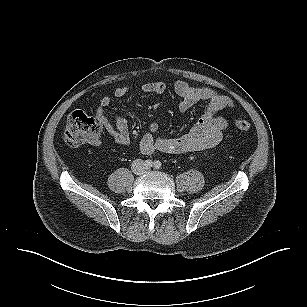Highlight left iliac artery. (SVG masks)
I'll list each match as a JSON object with an SVG mask.
<instances>
[{"instance_id":"left-iliac-artery-1","label":"left iliac artery","mask_w":307,"mask_h":307,"mask_svg":"<svg viewBox=\"0 0 307 307\" xmlns=\"http://www.w3.org/2000/svg\"><path fill=\"white\" fill-rule=\"evenodd\" d=\"M161 166H162V163H161L159 160H157V161L154 162V167H155L156 169H160Z\"/></svg>"}]
</instances>
